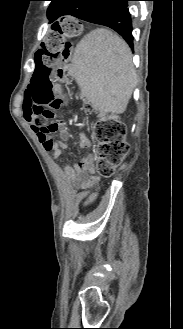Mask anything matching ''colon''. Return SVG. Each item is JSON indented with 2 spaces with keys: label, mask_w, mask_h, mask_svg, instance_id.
<instances>
[{
  "label": "colon",
  "mask_w": 183,
  "mask_h": 329,
  "mask_svg": "<svg viewBox=\"0 0 183 329\" xmlns=\"http://www.w3.org/2000/svg\"><path fill=\"white\" fill-rule=\"evenodd\" d=\"M53 24L47 25V31H42L41 36L46 39L40 45L37 55L32 56V67L36 73L49 74H32L22 109L23 114H33L43 119L41 132L44 134L57 131L56 125L45 121L51 120L55 111L67 107L70 101L62 85V81H65L62 64L70 54L69 44H76L77 32H80L79 21L74 19L73 14H60ZM79 42L91 44L92 39L80 37ZM90 108L87 104L86 109ZM94 132L98 142L96 170L100 176L109 177L128 154L126 126L116 116L101 117L95 123ZM45 145L49 148L52 141H46Z\"/></svg>",
  "instance_id": "colon-1"
}]
</instances>
